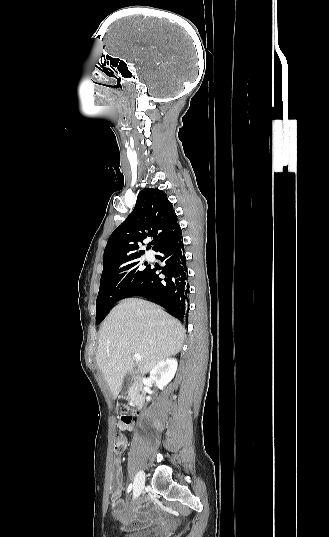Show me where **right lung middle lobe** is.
Returning <instances> with one entry per match:
<instances>
[{"label": "right lung middle lobe", "mask_w": 329, "mask_h": 537, "mask_svg": "<svg viewBox=\"0 0 329 537\" xmlns=\"http://www.w3.org/2000/svg\"><path fill=\"white\" fill-rule=\"evenodd\" d=\"M149 265L136 258L130 262L103 267L100 289L96 300V323H100L108 310L128 293L143 277Z\"/></svg>", "instance_id": "dd1d6c3e"}]
</instances>
